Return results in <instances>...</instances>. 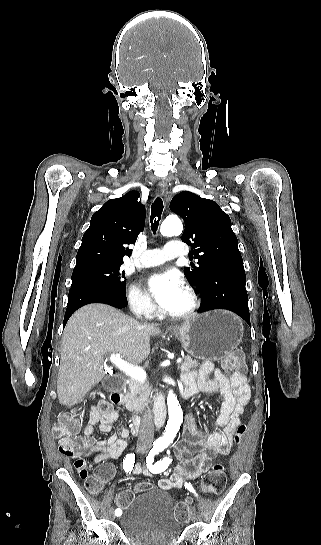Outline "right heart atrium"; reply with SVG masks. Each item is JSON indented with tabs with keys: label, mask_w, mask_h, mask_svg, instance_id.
Returning <instances> with one entry per match:
<instances>
[{
	"label": "right heart atrium",
	"mask_w": 321,
	"mask_h": 545,
	"mask_svg": "<svg viewBox=\"0 0 321 545\" xmlns=\"http://www.w3.org/2000/svg\"><path fill=\"white\" fill-rule=\"evenodd\" d=\"M131 311L143 318L152 319L156 315V307L148 296L136 287H130L126 293Z\"/></svg>",
	"instance_id": "d8ad5b80"
}]
</instances>
